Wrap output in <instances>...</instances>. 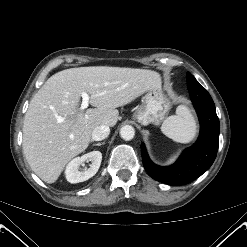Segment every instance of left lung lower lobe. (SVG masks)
Here are the masks:
<instances>
[{
	"label": "left lung lower lobe",
	"instance_id": "0a47b994",
	"mask_svg": "<svg viewBox=\"0 0 247 247\" xmlns=\"http://www.w3.org/2000/svg\"><path fill=\"white\" fill-rule=\"evenodd\" d=\"M187 84L201 125L197 142L168 167L154 164L141 145L145 170L153 179L169 185H184L201 176L213 164L219 145V119L210 94L194 77Z\"/></svg>",
	"mask_w": 247,
	"mask_h": 247
}]
</instances>
